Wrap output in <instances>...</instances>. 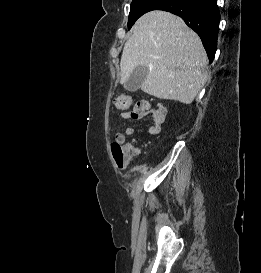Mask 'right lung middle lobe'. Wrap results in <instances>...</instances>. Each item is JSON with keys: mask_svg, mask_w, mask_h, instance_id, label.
<instances>
[{"mask_svg": "<svg viewBox=\"0 0 261 273\" xmlns=\"http://www.w3.org/2000/svg\"><path fill=\"white\" fill-rule=\"evenodd\" d=\"M163 1L165 0H133L128 18V29H130L143 14L152 10L162 9L164 7Z\"/></svg>", "mask_w": 261, "mask_h": 273, "instance_id": "dd1d6c3e", "label": "right lung middle lobe"}]
</instances>
